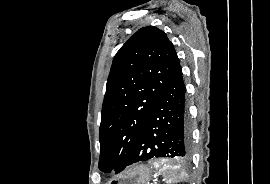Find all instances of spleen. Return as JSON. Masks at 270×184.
<instances>
[{
	"mask_svg": "<svg viewBox=\"0 0 270 184\" xmlns=\"http://www.w3.org/2000/svg\"><path fill=\"white\" fill-rule=\"evenodd\" d=\"M153 165L156 169H159V172L163 174V176L168 182H172L177 179L178 166L170 165L165 162L164 163L154 162Z\"/></svg>",
	"mask_w": 270,
	"mask_h": 184,
	"instance_id": "1",
	"label": "spleen"
}]
</instances>
